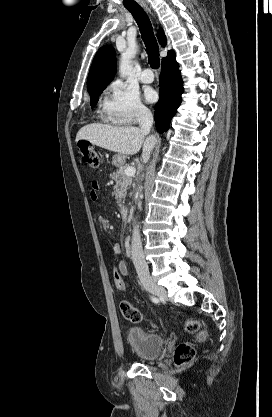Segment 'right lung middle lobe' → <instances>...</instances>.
Returning a JSON list of instances; mask_svg holds the SVG:
<instances>
[{"label":"right lung middle lobe","mask_w":272,"mask_h":417,"mask_svg":"<svg viewBox=\"0 0 272 417\" xmlns=\"http://www.w3.org/2000/svg\"><path fill=\"white\" fill-rule=\"evenodd\" d=\"M103 90H104V88L103 89L96 90V91L89 92L90 97H91L90 103H91L92 106H95L96 105V103L98 102V99H99L98 96H99V94H101V92Z\"/></svg>","instance_id":"dd1d6c3e"}]
</instances>
